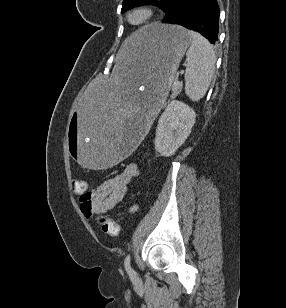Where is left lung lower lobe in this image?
Returning <instances> with one entry per match:
<instances>
[{
  "label": "left lung lower lobe",
  "mask_w": 286,
  "mask_h": 308,
  "mask_svg": "<svg viewBox=\"0 0 286 308\" xmlns=\"http://www.w3.org/2000/svg\"><path fill=\"white\" fill-rule=\"evenodd\" d=\"M162 22L197 31L214 44L219 30L217 0H172Z\"/></svg>",
  "instance_id": "obj_1"
}]
</instances>
